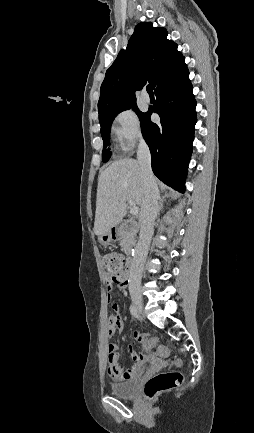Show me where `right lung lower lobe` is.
I'll list each match as a JSON object with an SVG mask.
<instances>
[{
    "mask_svg": "<svg viewBox=\"0 0 254 433\" xmlns=\"http://www.w3.org/2000/svg\"><path fill=\"white\" fill-rule=\"evenodd\" d=\"M192 90L183 58L155 88L156 103L140 119L154 174L181 193L185 191L196 124V101ZM152 112L160 116V123L151 122Z\"/></svg>",
    "mask_w": 254,
    "mask_h": 433,
    "instance_id": "1",
    "label": "right lung lower lobe"
}]
</instances>
